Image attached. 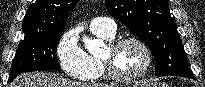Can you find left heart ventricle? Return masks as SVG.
<instances>
[{"label":"left heart ventricle","instance_id":"1","mask_svg":"<svg viewBox=\"0 0 205 87\" xmlns=\"http://www.w3.org/2000/svg\"><path fill=\"white\" fill-rule=\"evenodd\" d=\"M107 54V50L104 55ZM114 65L124 75H134L141 71L145 64V54L135 43L123 45L114 55Z\"/></svg>","mask_w":205,"mask_h":87}]
</instances>
